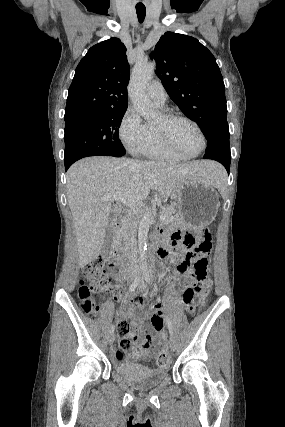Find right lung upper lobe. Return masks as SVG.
<instances>
[{"label":"right lung upper lobe","mask_w":285,"mask_h":427,"mask_svg":"<svg viewBox=\"0 0 285 427\" xmlns=\"http://www.w3.org/2000/svg\"><path fill=\"white\" fill-rule=\"evenodd\" d=\"M129 64L126 47L110 38L91 47L70 85L64 119L108 109H127Z\"/></svg>","instance_id":"obj_1"}]
</instances>
